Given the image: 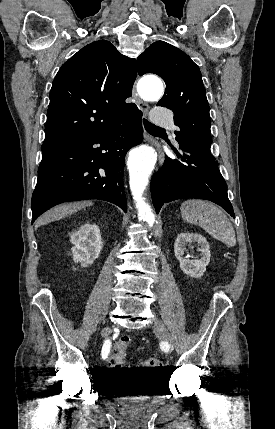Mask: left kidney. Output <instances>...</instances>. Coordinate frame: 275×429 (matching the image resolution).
Returning a JSON list of instances; mask_svg holds the SVG:
<instances>
[{
  "instance_id": "obj_1",
  "label": "left kidney",
  "mask_w": 275,
  "mask_h": 429,
  "mask_svg": "<svg viewBox=\"0 0 275 429\" xmlns=\"http://www.w3.org/2000/svg\"><path fill=\"white\" fill-rule=\"evenodd\" d=\"M191 243H197L200 247L198 249L201 252L200 258L192 260L183 258L186 245ZM209 249L206 238L197 233H180L174 243V253L179 260L181 270L184 274L194 278L201 277L206 271L211 256Z\"/></svg>"
}]
</instances>
